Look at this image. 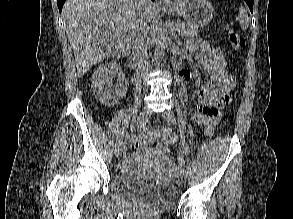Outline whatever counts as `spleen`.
I'll use <instances>...</instances> for the list:
<instances>
[{
	"label": "spleen",
	"mask_w": 293,
	"mask_h": 219,
	"mask_svg": "<svg viewBox=\"0 0 293 219\" xmlns=\"http://www.w3.org/2000/svg\"><path fill=\"white\" fill-rule=\"evenodd\" d=\"M238 19L241 29L246 30L249 26V17L244 7L239 8Z\"/></svg>",
	"instance_id": "1"
}]
</instances>
